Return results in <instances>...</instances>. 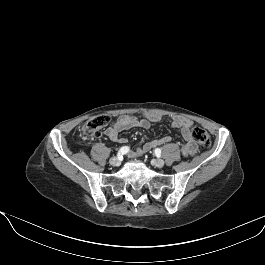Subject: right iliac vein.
<instances>
[{"mask_svg":"<svg viewBox=\"0 0 265 265\" xmlns=\"http://www.w3.org/2000/svg\"><path fill=\"white\" fill-rule=\"evenodd\" d=\"M110 164L113 166H119L121 164V161L118 157H112L110 159Z\"/></svg>","mask_w":265,"mask_h":265,"instance_id":"right-iliac-vein-1","label":"right iliac vein"}]
</instances>
